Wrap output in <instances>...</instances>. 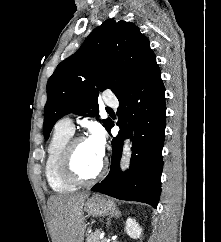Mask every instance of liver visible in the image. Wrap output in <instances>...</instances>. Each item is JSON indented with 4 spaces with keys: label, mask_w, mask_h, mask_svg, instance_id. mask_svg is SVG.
<instances>
[{
    "label": "liver",
    "mask_w": 221,
    "mask_h": 242,
    "mask_svg": "<svg viewBox=\"0 0 221 242\" xmlns=\"http://www.w3.org/2000/svg\"><path fill=\"white\" fill-rule=\"evenodd\" d=\"M90 193L57 195L50 197L49 209L52 217L53 242H83L84 201Z\"/></svg>",
    "instance_id": "6515ba94"
}]
</instances>
